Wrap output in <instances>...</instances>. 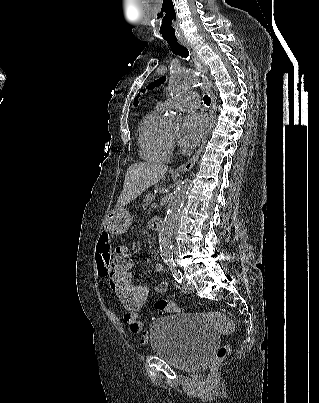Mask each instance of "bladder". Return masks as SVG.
<instances>
[{"label": "bladder", "instance_id": "1", "mask_svg": "<svg viewBox=\"0 0 319 403\" xmlns=\"http://www.w3.org/2000/svg\"><path fill=\"white\" fill-rule=\"evenodd\" d=\"M150 346L159 358L180 370H192L218 346L216 333L196 314L162 316L150 326Z\"/></svg>", "mask_w": 319, "mask_h": 403}]
</instances>
